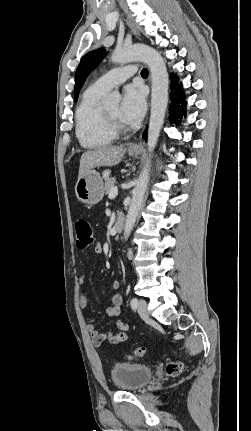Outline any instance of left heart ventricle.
Listing matches in <instances>:
<instances>
[{"label": "left heart ventricle", "instance_id": "b2bd125f", "mask_svg": "<svg viewBox=\"0 0 251 431\" xmlns=\"http://www.w3.org/2000/svg\"><path fill=\"white\" fill-rule=\"evenodd\" d=\"M106 112L109 115H111L113 118L118 119L120 121H123L122 116H121V109H120V106L118 104L107 108Z\"/></svg>", "mask_w": 251, "mask_h": 431}]
</instances>
